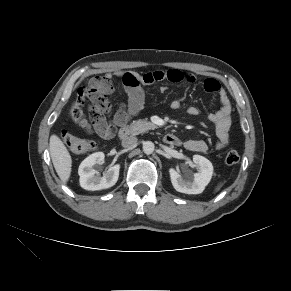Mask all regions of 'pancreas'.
<instances>
[{
    "label": "pancreas",
    "mask_w": 291,
    "mask_h": 291,
    "mask_svg": "<svg viewBox=\"0 0 291 291\" xmlns=\"http://www.w3.org/2000/svg\"><path fill=\"white\" fill-rule=\"evenodd\" d=\"M154 128H156V125L145 119L133 121L129 126V130L133 135H137Z\"/></svg>",
    "instance_id": "pancreas-1"
}]
</instances>
